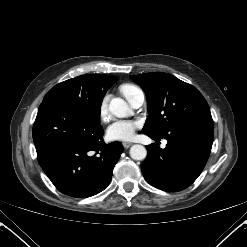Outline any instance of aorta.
<instances>
[{"label":"aorta","instance_id":"1","mask_svg":"<svg viewBox=\"0 0 247 247\" xmlns=\"http://www.w3.org/2000/svg\"><path fill=\"white\" fill-rule=\"evenodd\" d=\"M109 111L118 118H124L130 114L128 104L121 98H113L110 101ZM130 156L134 160H144L147 156V150L143 145H133L130 148Z\"/></svg>","mask_w":247,"mask_h":247}]
</instances>
